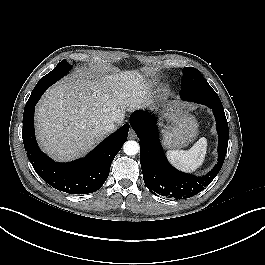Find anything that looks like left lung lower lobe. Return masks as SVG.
I'll list each match as a JSON object with an SVG mask.
<instances>
[{"instance_id": "left-lung-lower-lobe-1", "label": "left lung lower lobe", "mask_w": 265, "mask_h": 265, "mask_svg": "<svg viewBox=\"0 0 265 265\" xmlns=\"http://www.w3.org/2000/svg\"><path fill=\"white\" fill-rule=\"evenodd\" d=\"M181 98L208 106L216 119L219 158L214 169L203 177L178 171L167 161L158 138L157 117L154 114L135 111L130 116V124L140 138V162L146 187L154 195L175 199L190 198L210 183L223 165L229 138L223 106L217 103L218 95L211 86L194 88Z\"/></svg>"}]
</instances>
